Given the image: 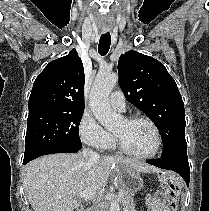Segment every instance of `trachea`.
<instances>
[{
	"label": "trachea",
	"instance_id": "obj_1",
	"mask_svg": "<svg viewBox=\"0 0 209 211\" xmlns=\"http://www.w3.org/2000/svg\"><path fill=\"white\" fill-rule=\"evenodd\" d=\"M111 45V36L109 32L101 35L98 45V52L101 56H104L108 53Z\"/></svg>",
	"mask_w": 209,
	"mask_h": 211
}]
</instances>
